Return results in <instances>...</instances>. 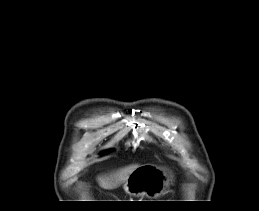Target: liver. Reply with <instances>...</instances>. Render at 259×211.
<instances>
[{
  "mask_svg": "<svg viewBox=\"0 0 259 211\" xmlns=\"http://www.w3.org/2000/svg\"><path fill=\"white\" fill-rule=\"evenodd\" d=\"M139 166L140 165L138 164H132L124 168H121L113 173L99 176L97 178L98 183L100 187L104 189H115L121 184H124L127 181L129 175Z\"/></svg>",
  "mask_w": 259,
  "mask_h": 211,
  "instance_id": "liver-1",
  "label": "liver"
}]
</instances>
